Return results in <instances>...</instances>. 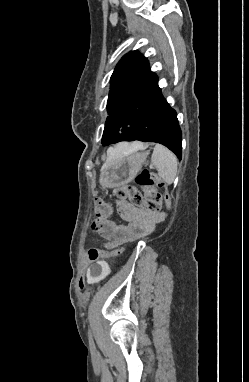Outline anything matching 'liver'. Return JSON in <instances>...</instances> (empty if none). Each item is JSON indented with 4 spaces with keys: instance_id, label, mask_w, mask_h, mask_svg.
<instances>
[{
    "instance_id": "obj_1",
    "label": "liver",
    "mask_w": 249,
    "mask_h": 382,
    "mask_svg": "<svg viewBox=\"0 0 249 382\" xmlns=\"http://www.w3.org/2000/svg\"><path fill=\"white\" fill-rule=\"evenodd\" d=\"M144 148H145L144 144H142L140 142H135L132 144L121 143V144L117 145L115 148L110 149L108 151L107 160H106V162L102 168L106 167L111 162V160L117 156L127 155V154L133 153L139 149H144Z\"/></svg>"
}]
</instances>
